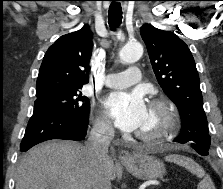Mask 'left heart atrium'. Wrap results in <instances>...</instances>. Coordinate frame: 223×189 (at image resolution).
<instances>
[{"mask_svg":"<svg viewBox=\"0 0 223 189\" xmlns=\"http://www.w3.org/2000/svg\"><path fill=\"white\" fill-rule=\"evenodd\" d=\"M104 108L114 124L127 132L140 129L147 116L140 91L113 92L104 100Z\"/></svg>","mask_w":223,"mask_h":189,"instance_id":"obj_1","label":"left heart atrium"}]
</instances>
